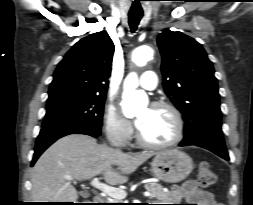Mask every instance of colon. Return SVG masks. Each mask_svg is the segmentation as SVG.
<instances>
[{
  "label": "colon",
  "instance_id": "obj_1",
  "mask_svg": "<svg viewBox=\"0 0 253 205\" xmlns=\"http://www.w3.org/2000/svg\"><path fill=\"white\" fill-rule=\"evenodd\" d=\"M198 183L201 187H209L216 182V174L208 161H201L198 165Z\"/></svg>",
  "mask_w": 253,
  "mask_h": 205
}]
</instances>
